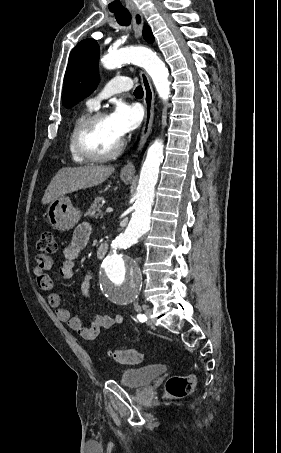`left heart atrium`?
<instances>
[{"label":"left heart atrium","mask_w":281,"mask_h":453,"mask_svg":"<svg viewBox=\"0 0 281 453\" xmlns=\"http://www.w3.org/2000/svg\"><path fill=\"white\" fill-rule=\"evenodd\" d=\"M108 118L116 133L123 137L140 125L142 111L136 104L129 105L123 101H119L114 106Z\"/></svg>","instance_id":"obj_1"}]
</instances>
